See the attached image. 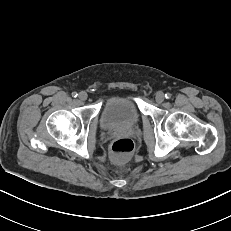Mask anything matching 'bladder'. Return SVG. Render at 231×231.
Listing matches in <instances>:
<instances>
[{
    "instance_id": "31cf9c89",
    "label": "bladder",
    "mask_w": 231,
    "mask_h": 231,
    "mask_svg": "<svg viewBox=\"0 0 231 231\" xmlns=\"http://www.w3.org/2000/svg\"><path fill=\"white\" fill-rule=\"evenodd\" d=\"M140 116V110L134 100L113 96L106 101L99 123L103 129L127 128L136 125Z\"/></svg>"
}]
</instances>
